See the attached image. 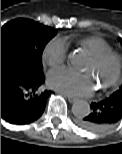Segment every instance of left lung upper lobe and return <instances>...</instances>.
<instances>
[{
  "instance_id": "5c2ea615",
  "label": "left lung upper lobe",
  "mask_w": 122,
  "mask_h": 154,
  "mask_svg": "<svg viewBox=\"0 0 122 154\" xmlns=\"http://www.w3.org/2000/svg\"><path fill=\"white\" fill-rule=\"evenodd\" d=\"M120 42L122 44V39H120ZM113 98L121 100L122 101V86L117 90L115 93L111 95Z\"/></svg>"
}]
</instances>
